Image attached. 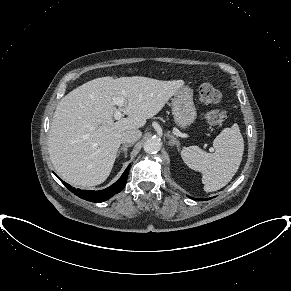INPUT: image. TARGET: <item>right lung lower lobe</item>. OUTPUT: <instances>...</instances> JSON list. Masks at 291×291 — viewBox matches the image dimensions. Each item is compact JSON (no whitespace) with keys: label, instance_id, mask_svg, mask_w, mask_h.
<instances>
[{"label":"right lung lower lobe","instance_id":"obj_1","mask_svg":"<svg viewBox=\"0 0 291 291\" xmlns=\"http://www.w3.org/2000/svg\"><path fill=\"white\" fill-rule=\"evenodd\" d=\"M129 169L130 165L126 168L122 176L116 181L113 185L110 187L100 190V191H89V190H80V189H75L69 184L65 183L62 181V183L75 195L78 197L90 201V202H103L114 196L115 194L119 193L122 191L126 185L127 177L129 174Z\"/></svg>","mask_w":291,"mask_h":291}]
</instances>
